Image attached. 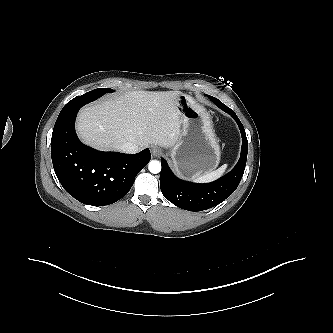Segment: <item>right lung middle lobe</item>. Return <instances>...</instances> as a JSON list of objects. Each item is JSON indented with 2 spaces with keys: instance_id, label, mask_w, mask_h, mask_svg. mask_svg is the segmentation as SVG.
Instances as JSON below:
<instances>
[{
  "instance_id": "dd1d6c3e",
  "label": "right lung middle lobe",
  "mask_w": 333,
  "mask_h": 333,
  "mask_svg": "<svg viewBox=\"0 0 333 333\" xmlns=\"http://www.w3.org/2000/svg\"><path fill=\"white\" fill-rule=\"evenodd\" d=\"M113 92L112 89H108V88H98V89H94L90 92H87L85 94H83L82 96H77L74 99H72L71 101H69L63 109H80L82 106H84L85 104L92 102L96 99H98L99 97H101L103 94L105 93H111Z\"/></svg>"
}]
</instances>
